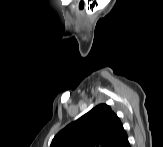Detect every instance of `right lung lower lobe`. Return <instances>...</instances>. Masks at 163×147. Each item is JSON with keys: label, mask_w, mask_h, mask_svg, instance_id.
Segmentation results:
<instances>
[{"label": "right lung lower lobe", "mask_w": 163, "mask_h": 147, "mask_svg": "<svg viewBox=\"0 0 163 147\" xmlns=\"http://www.w3.org/2000/svg\"><path fill=\"white\" fill-rule=\"evenodd\" d=\"M113 147H130V144L128 142L127 134L124 135L119 141H117Z\"/></svg>", "instance_id": "98d812e1"}]
</instances>
